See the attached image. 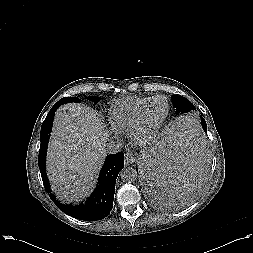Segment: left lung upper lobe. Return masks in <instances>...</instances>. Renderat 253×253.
Masks as SVG:
<instances>
[{
    "mask_svg": "<svg viewBox=\"0 0 253 253\" xmlns=\"http://www.w3.org/2000/svg\"><path fill=\"white\" fill-rule=\"evenodd\" d=\"M171 99L177 113H187L195 109L194 105L184 97L172 95Z\"/></svg>",
    "mask_w": 253,
    "mask_h": 253,
    "instance_id": "1",
    "label": "left lung upper lobe"
}]
</instances>
